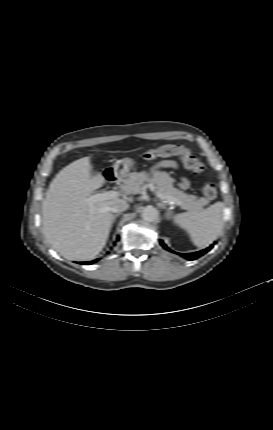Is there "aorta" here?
Here are the masks:
<instances>
[{"mask_svg": "<svg viewBox=\"0 0 273 430\" xmlns=\"http://www.w3.org/2000/svg\"><path fill=\"white\" fill-rule=\"evenodd\" d=\"M159 216L158 210L153 206H147L144 208L142 212V218L143 220L147 222H153L155 221Z\"/></svg>", "mask_w": 273, "mask_h": 430, "instance_id": "aorta-1", "label": "aorta"}]
</instances>
